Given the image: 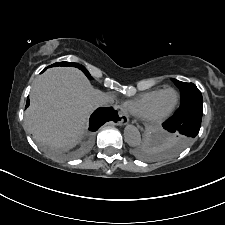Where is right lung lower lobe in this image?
<instances>
[{"instance_id":"right-lung-lower-lobe-1","label":"right lung lower lobe","mask_w":225,"mask_h":225,"mask_svg":"<svg viewBox=\"0 0 225 225\" xmlns=\"http://www.w3.org/2000/svg\"><path fill=\"white\" fill-rule=\"evenodd\" d=\"M46 68L43 70L45 71ZM29 106V99H27L26 107ZM118 115L114 109L109 108H98L90 118V127L91 131H96L101 125H103L106 121L117 118Z\"/></svg>"}]
</instances>
